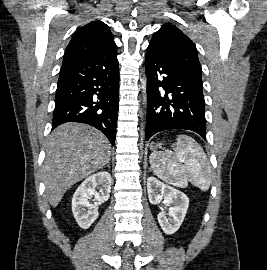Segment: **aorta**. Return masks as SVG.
Returning a JSON list of instances; mask_svg holds the SVG:
<instances>
[{
  "instance_id": "obj_1",
  "label": "aorta",
  "mask_w": 267,
  "mask_h": 270,
  "mask_svg": "<svg viewBox=\"0 0 267 270\" xmlns=\"http://www.w3.org/2000/svg\"><path fill=\"white\" fill-rule=\"evenodd\" d=\"M142 84V88L144 89V92H146V80H144ZM144 100H146V97L144 98Z\"/></svg>"
}]
</instances>
